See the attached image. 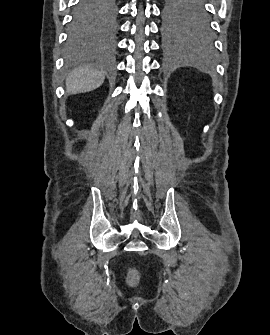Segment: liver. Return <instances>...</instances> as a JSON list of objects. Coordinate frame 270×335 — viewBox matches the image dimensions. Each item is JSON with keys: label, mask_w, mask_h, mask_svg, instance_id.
<instances>
[{"label": "liver", "mask_w": 270, "mask_h": 335, "mask_svg": "<svg viewBox=\"0 0 270 335\" xmlns=\"http://www.w3.org/2000/svg\"><path fill=\"white\" fill-rule=\"evenodd\" d=\"M105 80L104 74L94 68H75L66 80L67 92L70 94H81L91 92L102 86Z\"/></svg>", "instance_id": "obj_1"}]
</instances>
